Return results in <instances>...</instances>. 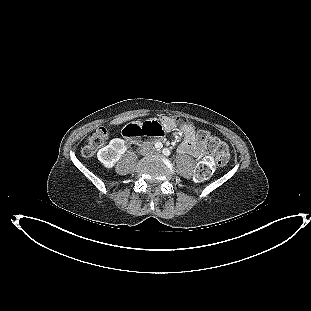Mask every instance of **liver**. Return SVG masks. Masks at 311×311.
<instances>
[{
	"label": "liver",
	"instance_id": "6515ba94",
	"mask_svg": "<svg viewBox=\"0 0 311 311\" xmlns=\"http://www.w3.org/2000/svg\"><path fill=\"white\" fill-rule=\"evenodd\" d=\"M135 117L136 116H133V115L132 116L119 117V118H116L113 121H111V124L112 125H118V124H121V123L128 121L130 119H133Z\"/></svg>",
	"mask_w": 311,
	"mask_h": 311
}]
</instances>
